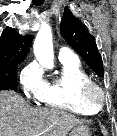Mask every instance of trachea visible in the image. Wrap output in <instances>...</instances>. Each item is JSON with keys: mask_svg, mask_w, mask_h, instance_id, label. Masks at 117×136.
Segmentation results:
<instances>
[{"mask_svg": "<svg viewBox=\"0 0 117 136\" xmlns=\"http://www.w3.org/2000/svg\"><path fill=\"white\" fill-rule=\"evenodd\" d=\"M32 2L36 6H41L44 3V0H33Z\"/></svg>", "mask_w": 117, "mask_h": 136, "instance_id": "obj_1", "label": "trachea"}]
</instances>
